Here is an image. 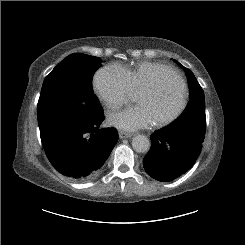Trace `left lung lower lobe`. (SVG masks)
Instances as JSON below:
<instances>
[{"mask_svg":"<svg viewBox=\"0 0 245 245\" xmlns=\"http://www.w3.org/2000/svg\"><path fill=\"white\" fill-rule=\"evenodd\" d=\"M152 145L143 159L145 171L152 178L172 181L186 173L200 155L203 141L186 133L162 128L151 135Z\"/></svg>","mask_w":245,"mask_h":245,"instance_id":"left-lung-lower-lobe-1","label":"left lung lower lobe"}]
</instances>
